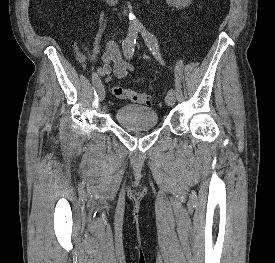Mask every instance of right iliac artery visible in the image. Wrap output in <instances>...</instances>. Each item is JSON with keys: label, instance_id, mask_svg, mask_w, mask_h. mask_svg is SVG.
<instances>
[{"label": "right iliac artery", "instance_id": "right-iliac-artery-1", "mask_svg": "<svg viewBox=\"0 0 275 263\" xmlns=\"http://www.w3.org/2000/svg\"><path fill=\"white\" fill-rule=\"evenodd\" d=\"M138 30L136 28H130L127 37L124 39L122 46L126 57L131 58L134 52V46L137 39ZM93 85L98 88L101 85L100 77L96 73H92Z\"/></svg>", "mask_w": 275, "mask_h": 263}]
</instances>
